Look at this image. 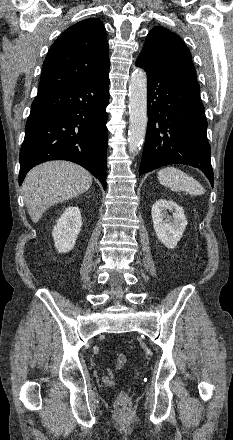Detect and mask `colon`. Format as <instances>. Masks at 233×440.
Returning a JSON list of instances; mask_svg holds the SVG:
<instances>
[{
  "label": "colon",
  "mask_w": 233,
  "mask_h": 440,
  "mask_svg": "<svg viewBox=\"0 0 233 440\" xmlns=\"http://www.w3.org/2000/svg\"><path fill=\"white\" fill-rule=\"evenodd\" d=\"M127 362V357L124 353H118L115 359L117 369H122ZM116 409L120 412H127L130 409V397L126 391H121L115 402Z\"/></svg>",
  "instance_id": "colon-1"
}]
</instances>
